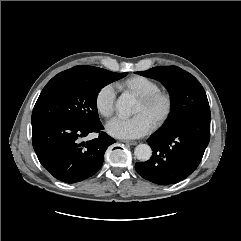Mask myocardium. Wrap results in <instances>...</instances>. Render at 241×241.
<instances>
[{
  "label": "myocardium",
  "instance_id": "f54148a6",
  "mask_svg": "<svg viewBox=\"0 0 241 241\" xmlns=\"http://www.w3.org/2000/svg\"><path fill=\"white\" fill-rule=\"evenodd\" d=\"M139 102L146 108L152 107L157 103L162 104L160 113L155 117L152 126L157 129L164 125L169 119L173 110V97L167 90H156L150 94L139 98Z\"/></svg>",
  "mask_w": 241,
  "mask_h": 241
}]
</instances>
